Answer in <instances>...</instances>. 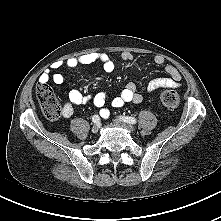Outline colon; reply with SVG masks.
<instances>
[{
	"label": "colon",
	"mask_w": 221,
	"mask_h": 221,
	"mask_svg": "<svg viewBox=\"0 0 221 221\" xmlns=\"http://www.w3.org/2000/svg\"><path fill=\"white\" fill-rule=\"evenodd\" d=\"M36 97L40 103L44 115L51 120L60 117L62 109L55 98L51 88L46 83H39L36 87ZM161 103L170 110L176 109L179 105V95L172 89H164L160 93Z\"/></svg>",
	"instance_id": "colon-1"
}]
</instances>
